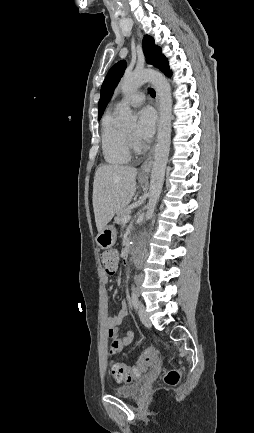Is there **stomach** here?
I'll return each mask as SVG.
<instances>
[{"label": "stomach", "instance_id": "stomach-1", "mask_svg": "<svg viewBox=\"0 0 254 433\" xmlns=\"http://www.w3.org/2000/svg\"><path fill=\"white\" fill-rule=\"evenodd\" d=\"M140 182L143 183L144 181L140 179ZM96 242L102 249H108L112 247L116 242L115 227L113 225L105 226V228L98 233Z\"/></svg>", "mask_w": 254, "mask_h": 433}]
</instances>
